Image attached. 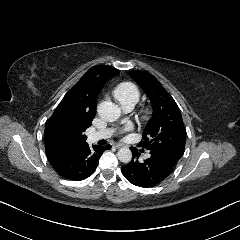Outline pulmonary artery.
<instances>
[{"label": "pulmonary artery", "instance_id": "e3ab8cb5", "mask_svg": "<svg viewBox=\"0 0 240 240\" xmlns=\"http://www.w3.org/2000/svg\"><path fill=\"white\" fill-rule=\"evenodd\" d=\"M125 112H130L133 109L132 105L122 107ZM110 130H103L98 132H93L88 135L87 141L88 143H96L100 140L107 139L110 136Z\"/></svg>", "mask_w": 240, "mask_h": 240}]
</instances>
